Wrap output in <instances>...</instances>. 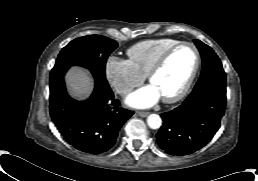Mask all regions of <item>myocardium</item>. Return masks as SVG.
Here are the masks:
<instances>
[{
	"instance_id": "f54148a6",
	"label": "myocardium",
	"mask_w": 258,
	"mask_h": 181,
	"mask_svg": "<svg viewBox=\"0 0 258 181\" xmlns=\"http://www.w3.org/2000/svg\"><path fill=\"white\" fill-rule=\"evenodd\" d=\"M183 46H189L195 52V57H196L195 65H194L192 73H191L190 77L188 78L186 84L177 94H175L174 96H170V97H162V100L165 103H175V102L180 101L187 95V93L191 89V87L194 83V80L199 72V68H200V64H201V56H200V52H199L198 48L192 42L180 41V42L176 43L175 45L171 46L169 49H167L165 52H163L161 54V56L154 63V65L152 66V68L150 69V71L147 75L149 82L152 83L154 77L162 70V68L164 67L166 62L169 60V58L172 56V54L176 50H178L179 48H181Z\"/></svg>"
}]
</instances>
